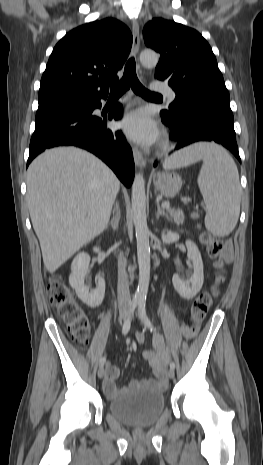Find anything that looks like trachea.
Returning a JSON list of instances; mask_svg holds the SVG:
<instances>
[{"instance_id": "obj_1", "label": "trachea", "mask_w": 263, "mask_h": 465, "mask_svg": "<svg viewBox=\"0 0 263 465\" xmlns=\"http://www.w3.org/2000/svg\"><path fill=\"white\" fill-rule=\"evenodd\" d=\"M145 98H153V97H161L160 94L148 91L138 80L136 75V63L134 58H130L124 69V74L122 79L116 83L115 85L111 86V96H121L125 93L129 88Z\"/></svg>"}]
</instances>
